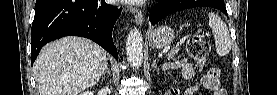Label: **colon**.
Masks as SVG:
<instances>
[{
  "mask_svg": "<svg viewBox=\"0 0 277 95\" xmlns=\"http://www.w3.org/2000/svg\"><path fill=\"white\" fill-rule=\"evenodd\" d=\"M187 51L195 62L202 63L206 60V57L210 52V45L202 37L194 36L187 42ZM215 73L216 71L212 70L208 74L212 77Z\"/></svg>",
  "mask_w": 277,
  "mask_h": 95,
  "instance_id": "obj_1",
  "label": "colon"
}]
</instances>
